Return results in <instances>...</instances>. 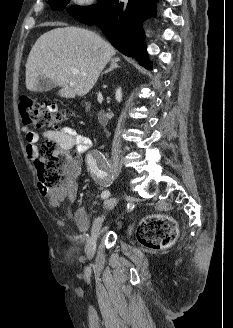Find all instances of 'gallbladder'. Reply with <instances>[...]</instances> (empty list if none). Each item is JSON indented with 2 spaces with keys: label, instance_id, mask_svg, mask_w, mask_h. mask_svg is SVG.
<instances>
[{
  "label": "gallbladder",
  "instance_id": "1",
  "mask_svg": "<svg viewBox=\"0 0 233 328\" xmlns=\"http://www.w3.org/2000/svg\"><path fill=\"white\" fill-rule=\"evenodd\" d=\"M55 87V84L48 78L39 77L37 83V92H47L52 90Z\"/></svg>",
  "mask_w": 233,
  "mask_h": 328
}]
</instances>
